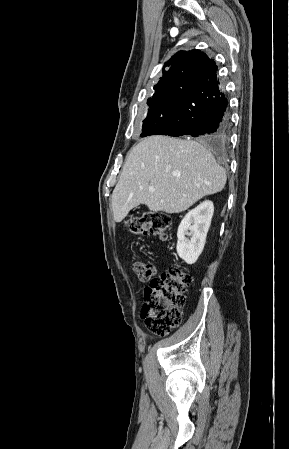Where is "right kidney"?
Instances as JSON below:
<instances>
[{
  "mask_svg": "<svg viewBox=\"0 0 289 449\" xmlns=\"http://www.w3.org/2000/svg\"><path fill=\"white\" fill-rule=\"evenodd\" d=\"M213 213V202L205 200L182 219L177 231V253L187 264H194L202 253Z\"/></svg>",
  "mask_w": 289,
  "mask_h": 449,
  "instance_id": "1",
  "label": "right kidney"
}]
</instances>
